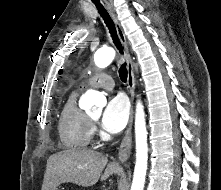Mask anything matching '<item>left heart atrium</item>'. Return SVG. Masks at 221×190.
I'll list each match as a JSON object with an SVG mask.
<instances>
[{
  "instance_id": "1",
  "label": "left heart atrium",
  "mask_w": 221,
  "mask_h": 190,
  "mask_svg": "<svg viewBox=\"0 0 221 190\" xmlns=\"http://www.w3.org/2000/svg\"><path fill=\"white\" fill-rule=\"evenodd\" d=\"M129 113V103L123 95L111 97L101 117L103 129L110 133L120 132L128 122Z\"/></svg>"
}]
</instances>
